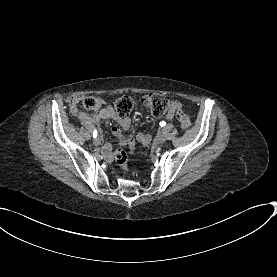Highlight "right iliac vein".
I'll use <instances>...</instances> for the list:
<instances>
[{
	"label": "right iliac vein",
	"mask_w": 277,
	"mask_h": 277,
	"mask_svg": "<svg viewBox=\"0 0 277 277\" xmlns=\"http://www.w3.org/2000/svg\"><path fill=\"white\" fill-rule=\"evenodd\" d=\"M93 142H94V144H95L96 146L100 145V144H101V139H100V137L94 138Z\"/></svg>",
	"instance_id": "obj_1"
}]
</instances>
